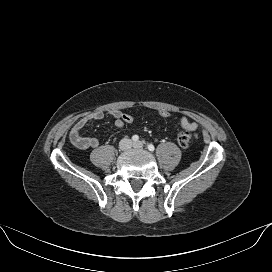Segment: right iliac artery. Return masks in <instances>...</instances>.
<instances>
[{
  "instance_id": "82829eb1",
  "label": "right iliac artery",
  "mask_w": 272,
  "mask_h": 272,
  "mask_svg": "<svg viewBox=\"0 0 272 272\" xmlns=\"http://www.w3.org/2000/svg\"><path fill=\"white\" fill-rule=\"evenodd\" d=\"M138 139H139V136H138V135H133V136H132V140H133V141L136 142V141H138Z\"/></svg>"
}]
</instances>
